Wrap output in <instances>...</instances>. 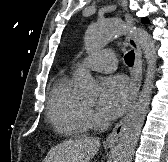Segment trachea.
Instances as JSON below:
<instances>
[{"label":"trachea","instance_id":"trachea-1","mask_svg":"<svg viewBox=\"0 0 168 162\" xmlns=\"http://www.w3.org/2000/svg\"><path fill=\"white\" fill-rule=\"evenodd\" d=\"M134 57H135V54H134L133 50L130 51L129 53H127L124 57L126 64L129 65V66H133Z\"/></svg>","mask_w":168,"mask_h":162}]
</instances>
